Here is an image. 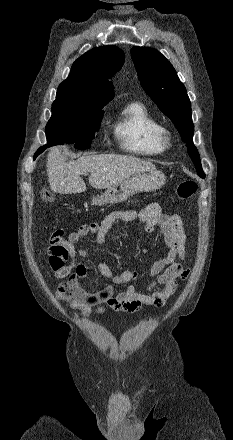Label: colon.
<instances>
[{"label": "colon", "mask_w": 233, "mask_h": 440, "mask_svg": "<svg viewBox=\"0 0 233 440\" xmlns=\"http://www.w3.org/2000/svg\"><path fill=\"white\" fill-rule=\"evenodd\" d=\"M197 191V183L194 180L187 179L182 181L177 188V195L182 199L191 198ZM41 198L46 202H52L54 195L51 191L43 189L41 191ZM63 262V261H62Z\"/></svg>", "instance_id": "obj_1"}]
</instances>
